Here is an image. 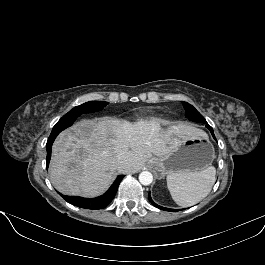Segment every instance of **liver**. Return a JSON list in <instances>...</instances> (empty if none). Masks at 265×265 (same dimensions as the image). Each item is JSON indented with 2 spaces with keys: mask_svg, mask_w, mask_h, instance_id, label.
Masks as SVG:
<instances>
[{
  "mask_svg": "<svg viewBox=\"0 0 265 265\" xmlns=\"http://www.w3.org/2000/svg\"><path fill=\"white\" fill-rule=\"evenodd\" d=\"M186 124L162 130L155 120H125L102 117L81 120L55 140L49 176L61 193L96 197L104 193L116 171L135 173L152 156L170 153L178 139L202 135ZM125 163L117 166V155Z\"/></svg>",
  "mask_w": 265,
  "mask_h": 265,
  "instance_id": "obj_1",
  "label": "liver"
}]
</instances>
